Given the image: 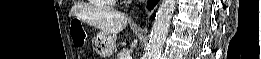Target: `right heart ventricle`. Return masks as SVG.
Segmentation results:
<instances>
[{"instance_id": "1", "label": "right heart ventricle", "mask_w": 261, "mask_h": 59, "mask_svg": "<svg viewBox=\"0 0 261 59\" xmlns=\"http://www.w3.org/2000/svg\"><path fill=\"white\" fill-rule=\"evenodd\" d=\"M99 2V5L101 6H110L113 4L114 0H97Z\"/></svg>"}]
</instances>
